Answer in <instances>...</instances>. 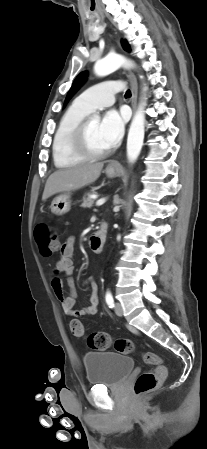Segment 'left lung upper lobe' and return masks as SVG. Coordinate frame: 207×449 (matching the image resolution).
Wrapping results in <instances>:
<instances>
[{
    "label": "left lung upper lobe",
    "mask_w": 207,
    "mask_h": 449,
    "mask_svg": "<svg viewBox=\"0 0 207 449\" xmlns=\"http://www.w3.org/2000/svg\"><path fill=\"white\" fill-rule=\"evenodd\" d=\"M122 46L125 50H129L128 43L124 40L122 41ZM87 77V72L80 73L76 79L74 80L65 100V104L68 102V100L75 94V92L79 89V87L85 82Z\"/></svg>",
    "instance_id": "5c2ea615"
}]
</instances>
